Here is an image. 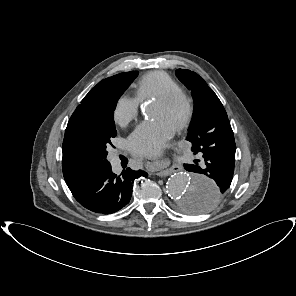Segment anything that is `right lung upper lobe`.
<instances>
[{
	"label": "right lung upper lobe",
	"instance_id": "obj_1",
	"mask_svg": "<svg viewBox=\"0 0 296 296\" xmlns=\"http://www.w3.org/2000/svg\"><path fill=\"white\" fill-rule=\"evenodd\" d=\"M118 75L119 74H117L115 76H112V77H109V78L99 82L84 97V99L81 101V104L76 108V110L74 111V113L72 114V116H71V118H70V120L68 122L66 131H65L63 146H62V151H63V159H62L63 175H64V179H65L66 184H67L68 187L72 186L78 180H80L81 178H83L87 174H89L91 171H93V170H87V169H83V168L75 166L74 164H72L69 161V159L67 158L66 153H65V147H66V144H67L68 140L70 139V137L72 135H74L81 128V126L83 124L82 108L94 94L99 92L105 86V84L108 81L116 78V76H118Z\"/></svg>",
	"mask_w": 296,
	"mask_h": 296
}]
</instances>
